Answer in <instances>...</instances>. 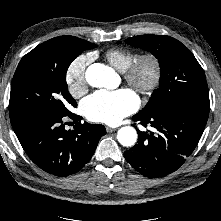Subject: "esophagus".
I'll return each instance as SVG.
<instances>
[{
  "label": "esophagus",
  "instance_id": "obj_1",
  "mask_svg": "<svg viewBox=\"0 0 221 221\" xmlns=\"http://www.w3.org/2000/svg\"><path fill=\"white\" fill-rule=\"evenodd\" d=\"M115 130H116V128H112V127L106 126V131H107L108 133H112V132H114Z\"/></svg>",
  "mask_w": 221,
  "mask_h": 221
}]
</instances>
